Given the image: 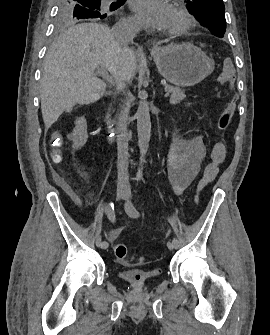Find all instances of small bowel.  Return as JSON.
<instances>
[{
    "instance_id": "1",
    "label": "small bowel",
    "mask_w": 270,
    "mask_h": 335,
    "mask_svg": "<svg viewBox=\"0 0 270 335\" xmlns=\"http://www.w3.org/2000/svg\"><path fill=\"white\" fill-rule=\"evenodd\" d=\"M59 137V133H56ZM52 145H63V138H52ZM47 156H64V149H47ZM206 155L205 145L200 137L191 140H174L168 155V178L176 195H180L194 179L200 163Z\"/></svg>"
}]
</instances>
